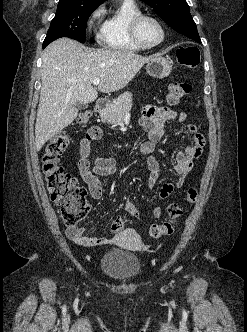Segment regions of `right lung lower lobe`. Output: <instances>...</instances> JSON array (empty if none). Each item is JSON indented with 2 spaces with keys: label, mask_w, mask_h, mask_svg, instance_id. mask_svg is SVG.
<instances>
[{
  "label": "right lung lower lobe",
  "mask_w": 247,
  "mask_h": 332,
  "mask_svg": "<svg viewBox=\"0 0 247 332\" xmlns=\"http://www.w3.org/2000/svg\"><path fill=\"white\" fill-rule=\"evenodd\" d=\"M60 38L59 35L56 36H47L43 42V48H45L49 43H51L52 41H54L55 39Z\"/></svg>",
  "instance_id": "obj_1"
}]
</instances>
